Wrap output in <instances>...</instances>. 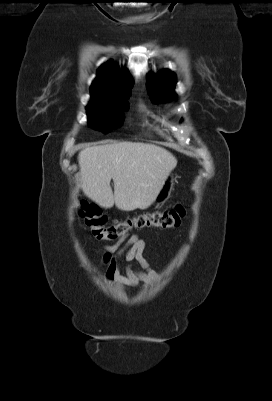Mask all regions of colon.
Returning <instances> with one entry per match:
<instances>
[{
    "instance_id": "5ec220e1",
    "label": "colon",
    "mask_w": 272,
    "mask_h": 401,
    "mask_svg": "<svg viewBox=\"0 0 272 401\" xmlns=\"http://www.w3.org/2000/svg\"><path fill=\"white\" fill-rule=\"evenodd\" d=\"M184 214V207L177 205L170 210L145 212L132 218L108 224L106 215L97 205L89 202H83L81 205V215L92 235L96 239L104 241L117 240L131 230L150 227L176 228L180 225Z\"/></svg>"
}]
</instances>
